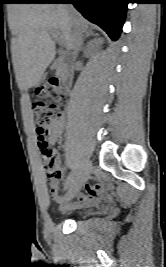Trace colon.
<instances>
[{
  "mask_svg": "<svg viewBox=\"0 0 166 267\" xmlns=\"http://www.w3.org/2000/svg\"><path fill=\"white\" fill-rule=\"evenodd\" d=\"M49 101V102H48ZM66 102V95L62 89V83L56 79H51L36 91V98L32 101V112L37 123V136L39 149L42 158L46 160L44 172L50 179L57 175V170L52 161L53 151L49 148L46 136L48 135L51 123L59 120L62 116L59 104Z\"/></svg>",
  "mask_w": 166,
  "mask_h": 267,
  "instance_id": "5ec220e1",
  "label": "colon"
}]
</instances>
